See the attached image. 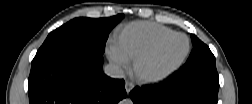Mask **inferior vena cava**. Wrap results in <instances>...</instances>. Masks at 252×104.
<instances>
[{"mask_svg":"<svg viewBox=\"0 0 252 104\" xmlns=\"http://www.w3.org/2000/svg\"><path fill=\"white\" fill-rule=\"evenodd\" d=\"M104 72L111 78L120 79L124 77L123 69L116 64H107L104 68Z\"/></svg>","mask_w":252,"mask_h":104,"instance_id":"inferior-vena-cava-1","label":"inferior vena cava"}]
</instances>
